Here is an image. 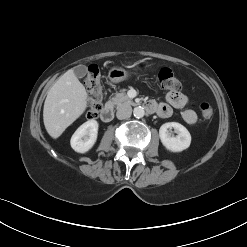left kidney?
Listing matches in <instances>:
<instances>
[{
	"instance_id": "5707ae66",
	"label": "left kidney",
	"mask_w": 247,
	"mask_h": 247,
	"mask_svg": "<svg viewBox=\"0 0 247 247\" xmlns=\"http://www.w3.org/2000/svg\"><path fill=\"white\" fill-rule=\"evenodd\" d=\"M174 128L177 136H171L168 129ZM159 136L165 148L171 152H181L187 149L191 143L189 131L180 123L168 122L163 124L159 129Z\"/></svg>"
}]
</instances>
